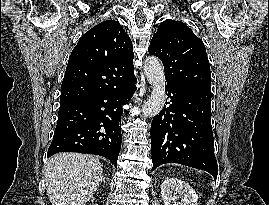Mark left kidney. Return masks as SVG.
Returning <instances> with one entry per match:
<instances>
[{"mask_svg": "<svg viewBox=\"0 0 269 205\" xmlns=\"http://www.w3.org/2000/svg\"><path fill=\"white\" fill-rule=\"evenodd\" d=\"M164 205H198V196L191 186L177 178H167L161 185Z\"/></svg>", "mask_w": 269, "mask_h": 205, "instance_id": "1", "label": "left kidney"}]
</instances>
